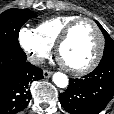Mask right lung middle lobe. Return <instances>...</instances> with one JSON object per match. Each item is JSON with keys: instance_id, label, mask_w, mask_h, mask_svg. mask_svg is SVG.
I'll return each instance as SVG.
<instances>
[{"instance_id": "obj_1", "label": "right lung middle lobe", "mask_w": 114, "mask_h": 114, "mask_svg": "<svg viewBox=\"0 0 114 114\" xmlns=\"http://www.w3.org/2000/svg\"><path fill=\"white\" fill-rule=\"evenodd\" d=\"M36 15L27 9H9L0 15V52L24 53L18 42L21 26Z\"/></svg>"}]
</instances>
